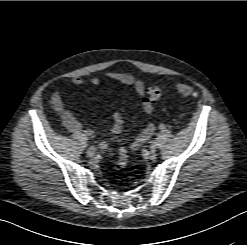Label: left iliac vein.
<instances>
[{"label":"left iliac vein","instance_id":"left-iliac-vein-1","mask_svg":"<svg viewBox=\"0 0 247 245\" xmlns=\"http://www.w3.org/2000/svg\"><path fill=\"white\" fill-rule=\"evenodd\" d=\"M156 149H157V143H156V142H153V143L150 145V154H151V155L155 154Z\"/></svg>","mask_w":247,"mask_h":245}]
</instances>
